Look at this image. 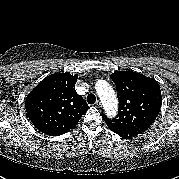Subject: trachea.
<instances>
[{
	"instance_id": "3493384b",
	"label": "trachea",
	"mask_w": 179,
	"mask_h": 179,
	"mask_svg": "<svg viewBox=\"0 0 179 179\" xmlns=\"http://www.w3.org/2000/svg\"><path fill=\"white\" fill-rule=\"evenodd\" d=\"M88 104H94L96 102V96L94 94H88L87 96Z\"/></svg>"
}]
</instances>
